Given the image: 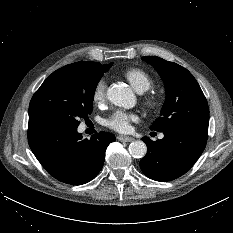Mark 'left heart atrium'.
<instances>
[{"instance_id": "1", "label": "left heart atrium", "mask_w": 233, "mask_h": 233, "mask_svg": "<svg viewBox=\"0 0 233 233\" xmlns=\"http://www.w3.org/2000/svg\"><path fill=\"white\" fill-rule=\"evenodd\" d=\"M137 119L138 117L134 113L118 110L108 117L106 125L117 132L126 133L131 128V122Z\"/></svg>"}]
</instances>
